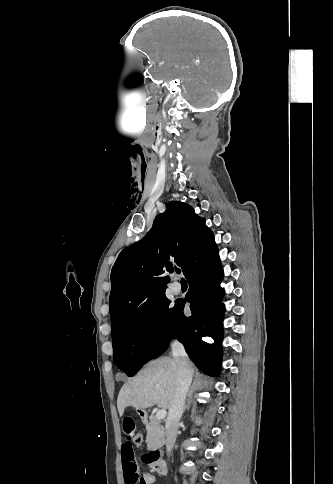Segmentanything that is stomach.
<instances>
[{"label": "stomach", "mask_w": 333, "mask_h": 484, "mask_svg": "<svg viewBox=\"0 0 333 484\" xmlns=\"http://www.w3.org/2000/svg\"><path fill=\"white\" fill-rule=\"evenodd\" d=\"M138 411L142 412L141 414H143V412H144V411H143V410H141V409H138Z\"/></svg>", "instance_id": "stomach-1"}]
</instances>
